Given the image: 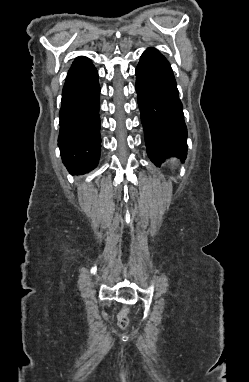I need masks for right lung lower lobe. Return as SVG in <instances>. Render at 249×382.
Masks as SVG:
<instances>
[{
    "label": "right lung lower lobe",
    "instance_id": "98d812e1",
    "mask_svg": "<svg viewBox=\"0 0 249 382\" xmlns=\"http://www.w3.org/2000/svg\"><path fill=\"white\" fill-rule=\"evenodd\" d=\"M98 73L89 59L68 72L60 110L58 146L71 174L94 169L101 150Z\"/></svg>",
    "mask_w": 249,
    "mask_h": 382
}]
</instances>
